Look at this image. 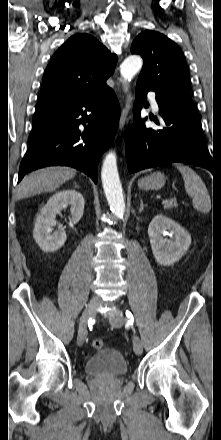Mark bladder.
<instances>
[{
	"mask_svg": "<svg viewBox=\"0 0 221 440\" xmlns=\"http://www.w3.org/2000/svg\"><path fill=\"white\" fill-rule=\"evenodd\" d=\"M84 369L90 376L115 378L126 374L127 363L117 349L108 348L89 357L85 362Z\"/></svg>",
	"mask_w": 221,
	"mask_h": 440,
	"instance_id": "1",
	"label": "bladder"
}]
</instances>
